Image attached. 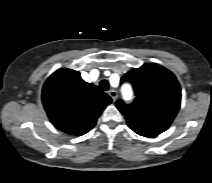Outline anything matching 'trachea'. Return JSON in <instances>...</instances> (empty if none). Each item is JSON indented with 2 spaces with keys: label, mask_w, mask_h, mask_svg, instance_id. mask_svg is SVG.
<instances>
[{
  "label": "trachea",
  "mask_w": 212,
  "mask_h": 183,
  "mask_svg": "<svg viewBox=\"0 0 212 183\" xmlns=\"http://www.w3.org/2000/svg\"><path fill=\"white\" fill-rule=\"evenodd\" d=\"M100 88H101L103 91L109 90V82H108L107 80H101V81H100Z\"/></svg>",
  "instance_id": "3493384b"
}]
</instances>
